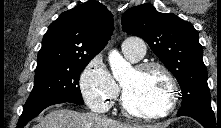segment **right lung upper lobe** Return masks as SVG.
I'll use <instances>...</instances> for the list:
<instances>
[{
    "label": "right lung upper lobe",
    "mask_w": 221,
    "mask_h": 128,
    "mask_svg": "<svg viewBox=\"0 0 221 128\" xmlns=\"http://www.w3.org/2000/svg\"><path fill=\"white\" fill-rule=\"evenodd\" d=\"M113 29L112 14L97 1L63 12L43 37L36 70L92 60L107 45Z\"/></svg>",
    "instance_id": "cb5924a9"
}]
</instances>
